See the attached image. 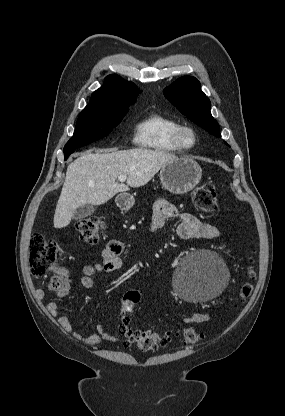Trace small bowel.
<instances>
[{
    "mask_svg": "<svg viewBox=\"0 0 285 416\" xmlns=\"http://www.w3.org/2000/svg\"><path fill=\"white\" fill-rule=\"evenodd\" d=\"M167 219H179L180 224L176 227V234L184 240L190 239H207L213 240L220 238V231L215 226L202 222L196 216L190 213L179 212L172 204L163 199L156 201L151 221V230L162 227ZM124 251V244L119 240H111L107 243L102 251V261L92 264H86L82 267L80 282L86 289L94 286L93 278L100 274H112L121 267V255ZM64 275V284L57 290L58 298H65L70 292V282L67 279V271L62 270ZM37 295L40 299L44 297V291L38 290ZM47 312L56 319L61 329L72 335L75 339L89 345H97L101 341H118V334L110 333L104 325L97 324L95 332L89 335H83L73 330L69 319L66 316L59 315V308L55 302L46 305ZM209 320L208 313H194L183 318L186 324H202Z\"/></svg>",
    "mask_w": 285,
    "mask_h": 416,
    "instance_id": "c3829d8e",
    "label": "small bowel"
}]
</instances>
